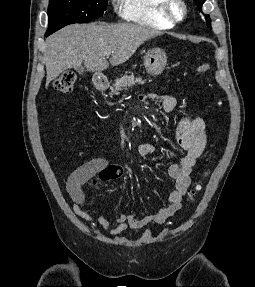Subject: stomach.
Masks as SVG:
<instances>
[{
  "label": "stomach",
  "mask_w": 255,
  "mask_h": 287,
  "mask_svg": "<svg viewBox=\"0 0 255 287\" xmlns=\"http://www.w3.org/2000/svg\"><path fill=\"white\" fill-rule=\"evenodd\" d=\"M167 64L166 52L162 48H151L144 56L146 72L151 76H159Z\"/></svg>",
  "instance_id": "obj_1"
}]
</instances>
